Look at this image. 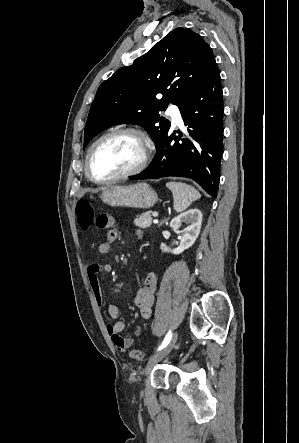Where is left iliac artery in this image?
<instances>
[{"instance_id": "obj_1", "label": "left iliac artery", "mask_w": 299, "mask_h": 443, "mask_svg": "<svg viewBox=\"0 0 299 443\" xmlns=\"http://www.w3.org/2000/svg\"><path fill=\"white\" fill-rule=\"evenodd\" d=\"M171 338H172V332H171V331H168V333H167V335L165 336V338H164L162 344L159 346L158 351L161 350V349H163L165 346H167V344L170 342Z\"/></svg>"}]
</instances>
